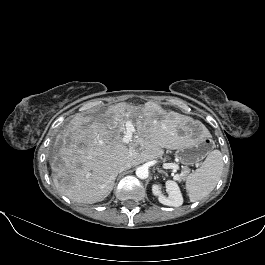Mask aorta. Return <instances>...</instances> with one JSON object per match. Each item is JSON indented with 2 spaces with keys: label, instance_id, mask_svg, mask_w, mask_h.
<instances>
[{
  "label": "aorta",
  "instance_id": "1",
  "mask_svg": "<svg viewBox=\"0 0 265 265\" xmlns=\"http://www.w3.org/2000/svg\"><path fill=\"white\" fill-rule=\"evenodd\" d=\"M136 176L140 179H146L149 176L148 168L145 166H140L136 169Z\"/></svg>",
  "mask_w": 265,
  "mask_h": 265
}]
</instances>
